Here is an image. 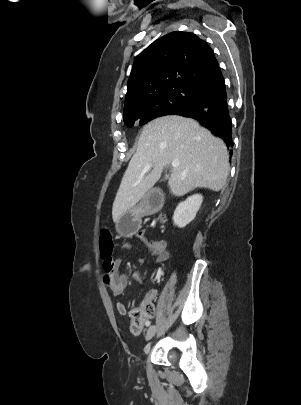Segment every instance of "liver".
Listing matches in <instances>:
<instances>
[{
	"label": "liver",
	"mask_w": 301,
	"mask_h": 405,
	"mask_svg": "<svg viewBox=\"0 0 301 405\" xmlns=\"http://www.w3.org/2000/svg\"><path fill=\"white\" fill-rule=\"evenodd\" d=\"M179 160L168 185L175 196L195 188L221 190L229 174L227 148L191 118L164 116L144 126L138 147L117 191L112 218H119L141 200L161 177L166 165ZM150 163L153 169L144 171Z\"/></svg>",
	"instance_id": "1"
}]
</instances>
